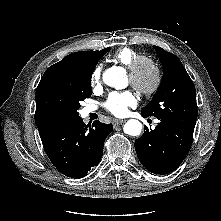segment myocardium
<instances>
[{
  "label": "myocardium",
  "mask_w": 221,
  "mask_h": 221,
  "mask_svg": "<svg viewBox=\"0 0 221 221\" xmlns=\"http://www.w3.org/2000/svg\"><path fill=\"white\" fill-rule=\"evenodd\" d=\"M143 67H148L153 73V79L150 84L143 85L140 81V71ZM129 81L132 87L144 96H151L158 91L162 83V71L156 60L150 56H137L128 67Z\"/></svg>",
  "instance_id": "f54148a6"
}]
</instances>
